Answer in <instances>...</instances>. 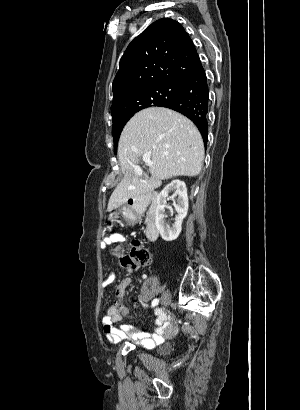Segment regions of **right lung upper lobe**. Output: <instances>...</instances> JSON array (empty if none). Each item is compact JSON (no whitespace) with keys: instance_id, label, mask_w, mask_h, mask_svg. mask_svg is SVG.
I'll list each match as a JSON object with an SVG mask.
<instances>
[{"instance_id":"cb5924a9","label":"right lung upper lobe","mask_w":300,"mask_h":410,"mask_svg":"<svg viewBox=\"0 0 300 410\" xmlns=\"http://www.w3.org/2000/svg\"><path fill=\"white\" fill-rule=\"evenodd\" d=\"M201 66L195 46L175 20L155 21L127 47L113 81L112 117L136 91L165 84L183 85Z\"/></svg>"}]
</instances>
